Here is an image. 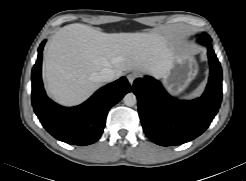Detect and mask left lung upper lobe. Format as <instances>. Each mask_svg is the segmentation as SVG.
<instances>
[{
	"instance_id": "left-lung-upper-lobe-1",
	"label": "left lung upper lobe",
	"mask_w": 246,
	"mask_h": 181,
	"mask_svg": "<svg viewBox=\"0 0 246 181\" xmlns=\"http://www.w3.org/2000/svg\"><path fill=\"white\" fill-rule=\"evenodd\" d=\"M201 37H209L207 34H202Z\"/></svg>"
}]
</instances>
